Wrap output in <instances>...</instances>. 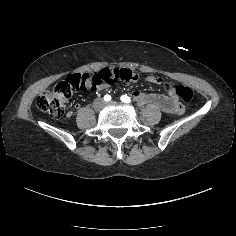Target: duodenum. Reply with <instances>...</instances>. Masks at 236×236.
Here are the masks:
<instances>
[{
    "mask_svg": "<svg viewBox=\"0 0 236 236\" xmlns=\"http://www.w3.org/2000/svg\"><path fill=\"white\" fill-rule=\"evenodd\" d=\"M136 101L141 106H145L150 103H157L164 111L169 113H177L182 110L181 104L173 97H152L138 95L136 97Z\"/></svg>",
    "mask_w": 236,
    "mask_h": 236,
    "instance_id": "duodenum-1",
    "label": "duodenum"
}]
</instances>
